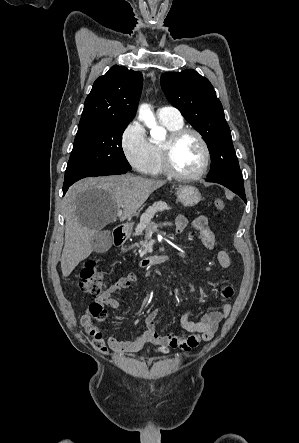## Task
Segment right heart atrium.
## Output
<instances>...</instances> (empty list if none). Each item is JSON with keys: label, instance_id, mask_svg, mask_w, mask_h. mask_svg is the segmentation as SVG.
I'll list each match as a JSON object with an SVG mask.
<instances>
[{"label": "right heart atrium", "instance_id": "d8ad5b80", "mask_svg": "<svg viewBox=\"0 0 299 443\" xmlns=\"http://www.w3.org/2000/svg\"><path fill=\"white\" fill-rule=\"evenodd\" d=\"M122 152L137 171L146 173L150 164V147L145 130L137 120L130 122L120 137Z\"/></svg>", "mask_w": 299, "mask_h": 443}]
</instances>
